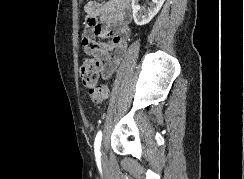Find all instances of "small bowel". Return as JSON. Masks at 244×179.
<instances>
[{"instance_id":"c3829d8e","label":"small bowel","mask_w":244,"mask_h":179,"mask_svg":"<svg viewBox=\"0 0 244 179\" xmlns=\"http://www.w3.org/2000/svg\"><path fill=\"white\" fill-rule=\"evenodd\" d=\"M131 19L126 1H90L85 6L82 46L86 56L102 62L103 79H109L125 57Z\"/></svg>"}]
</instances>
